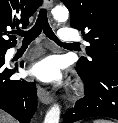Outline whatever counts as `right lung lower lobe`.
Masks as SVG:
<instances>
[{
  "label": "right lung lower lobe",
  "mask_w": 118,
  "mask_h": 123,
  "mask_svg": "<svg viewBox=\"0 0 118 123\" xmlns=\"http://www.w3.org/2000/svg\"><path fill=\"white\" fill-rule=\"evenodd\" d=\"M5 59L0 60V108L21 123H29L37 107L36 86L25 80H9L14 70L5 68ZM23 67V62L21 63Z\"/></svg>",
  "instance_id": "1"
}]
</instances>
